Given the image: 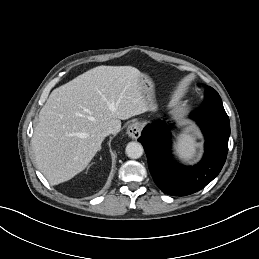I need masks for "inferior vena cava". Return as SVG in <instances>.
<instances>
[{
    "mask_svg": "<svg viewBox=\"0 0 259 259\" xmlns=\"http://www.w3.org/2000/svg\"><path fill=\"white\" fill-rule=\"evenodd\" d=\"M113 133H114V129L111 128V127H109V128L105 129V130L102 132V136H103V137H106V136H108V135H110V134H113Z\"/></svg>",
    "mask_w": 259,
    "mask_h": 259,
    "instance_id": "602c4592",
    "label": "inferior vena cava"
}]
</instances>
